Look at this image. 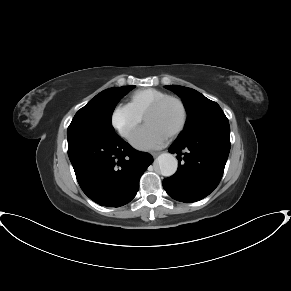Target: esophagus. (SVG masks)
I'll return each instance as SVG.
<instances>
[{
	"instance_id": "1",
	"label": "esophagus",
	"mask_w": 291,
	"mask_h": 291,
	"mask_svg": "<svg viewBox=\"0 0 291 291\" xmlns=\"http://www.w3.org/2000/svg\"><path fill=\"white\" fill-rule=\"evenodd\" d=\"M158 155H160V152H153V153H152V156H153V157H157Z\"/></svg>"
}]
</instances>
